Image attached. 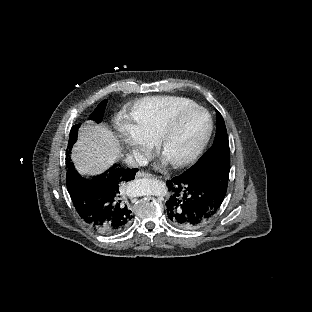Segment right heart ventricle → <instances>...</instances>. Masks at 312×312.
Here are the masks:
<instances>
[{"label":"right heart ventricle","mask_w":312,"mask_h":312,"mask_svg":"<svg viewBox=\"0 0 312 312\" xmlns=\"http://www.w3.org/2000/svg\"><path fill=\"white\" fill-rule=\"evenodd\" d=\"M197 105V99L189 93L173 97L169 94L141 93L129 99L125 109L142 141L153 145L175 117L194 111Z\"/></svg>","instance_id":"e07e8e85"}]
</instances>
